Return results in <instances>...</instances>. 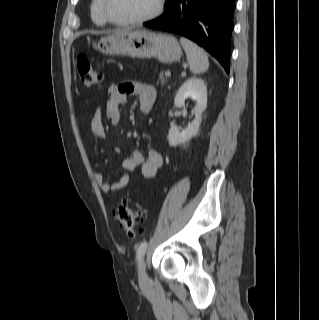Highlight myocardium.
<instances>
[{
	"instance_id": "f54148a6",
	"label": "myocardium",
	"mask_w": 319,
	"mask_h": 320,
	"mask_svg": "<svg viewBox=\"0 0 319 320\" xmlns=\"http://www.w3.org/2000/svg\"><path fill=\"white\" fill-rule=\"evenodd\" d=\"M164 6L165 0H157L156 8L150 14L133 19L118 20L111 16L107 6V0H101V10L104 18L107 22L118 26L140 24L153 20L162 14Z\"/></svg>"
}]
</instances>
